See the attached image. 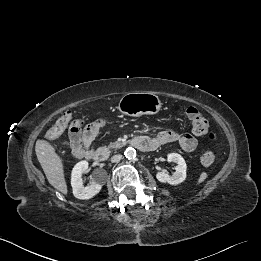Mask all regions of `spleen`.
<instances>
[{
    "label": "spleen",
    "instance_id": "spleen-1",
    "mask_svg": "<svg viewBox=\"0 0 261 261\" xmlns=\"http://www.w3.org/2000/svg\"><path fill=\"white\" fill-rule=\"evenodd\" d=\"M207 177H208V174L206 172H202L197 183L200 184V183L204 182Z\"/></svg>",
    "mask_w": 261,
    "mask_h": 261
}]
</instances>
